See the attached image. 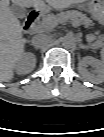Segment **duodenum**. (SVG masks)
I'll return each instance as SVG.
<instances>
[{
  "instance_id": "obj_1",
  "label": "duodenum",
  "mask_w": 104,
  "mask_h": 137,
  "mask_svg": "<svg viewBox=\"0 0 104 137\" xmlns=\"http://www.w3.org/2000/svg\"><path fill=\"white\" fill-rule=\"evenodd\" d=\"M45 9H42L40 11H32L29 16L27 17V19L25 20V28L26 30L32 29V27L34 26L36 20H37V15L40 12H44Z\"/></svg>"
}]
</instances>
